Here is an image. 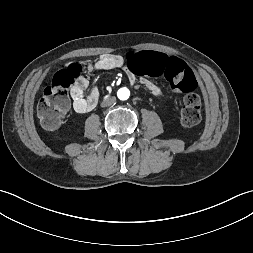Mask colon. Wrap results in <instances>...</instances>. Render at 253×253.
Returning a JSON list of instances; mask_svg holds the SVG:
<instances>
[{
	"instance_id": "1",
	"label": "colon",
	"mask_w": 253,
	"mask_h": 253,
	"mask_svg": "<svg viewBox=\"0 0 253 253\" xmlns=\"http://www.w3.org/2000/svg\"><path fill=\"white\" fill-rule=\"evenodd\" d=\"M127 66L137 75L167 79L171 85L185 93L179 121L192 127L201 120V99L195 89L196 78L185 61L175 56L152 51H133L127 57ZM82 68L73 63L53 76L37 104V115L45 128L59 126L70 106L69 90L81 75Z\"/></svg>"
}]
</instances>
